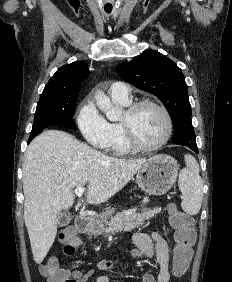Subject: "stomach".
Here are the masks:
<instances>
[{
	"label": "stomach",
	"instance_id": "obj_1",
	"mask_svg": "<svg viewBox=\"0 0 232 282\" xmlns=\"http://www.w3.org/2000/svg\"><path fill=\"white\" fill-rule=\"evenodd\" d=\"M178 170L179 165L173 157L164 154L154 155L148 158L138 170L136 182L145 193L161 196L175 184ZM112 213H114V209H109L103 218ZM103 218L89 222L87 227L90 233L99 235L103 232Z\"/></svg>",
	"mask_w": 232,
	"mask_h": 282
}]
</instances>
